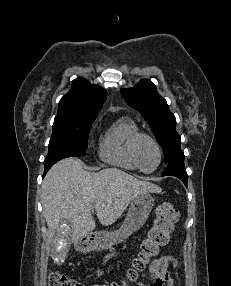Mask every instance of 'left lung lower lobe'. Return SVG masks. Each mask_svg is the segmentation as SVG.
I'll use <instances>...</instances> for the list:
<instances>
[{
	"mask_svg": "<svg viewBox=\"0 0 231 286\" xmlns=\"http://www.w3.org/2000/svg\"><path fill=\"white\" fill-rule=\"evenodd\" d=\"M171 175L179 178L182 182L187 186L188 176L186 173V169L184 166V154L183 152L172 159L168 164L163 172L162 176Z\"/></svg>",
	"mask_w": 231,
	"mask_h": 286,
	"instance_id": "0a47b994",
	"label": "left lung lower lobe"
}]
</instances>
